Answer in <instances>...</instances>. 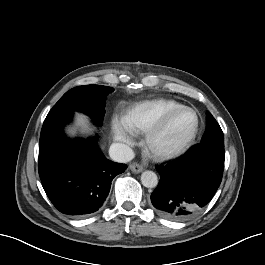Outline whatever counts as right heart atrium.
<instances>
[{
  "mask_svg": "<svg viewBox=\"0 0 265 265\" xmlns=\"http://www.w3.org/2000/svg\"><path fill=\"white\" fill-rule=\"evenodd\" d=\"M111 131L113 139L125 144H131L132 137L130 133L124 128L120 121L113 119L111 122Z\"/></svg>",
  "mask_w": 265,
  "mask_h": 265,
  "instance_id": "1",
  "label": "right heart atrium"
}]
</instances>
